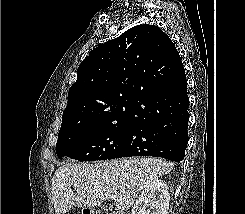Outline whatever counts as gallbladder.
I'll return each instance as SVG.
<instances>
[{"label": "gallbladder", "mask_w": 245, "mask_h": 214, "mask_svg": "<svg viewBox=\"0 0 245 214\" xmlns=\"http://www.w3.org/2000/svg\"><path fill=\"white\" fill-rule=\"evenodd\" d=\"M104 210L108 211V210H110V207L105 206V207H104Z\"/></svg>", "instance_id": "1"}]
</instances>
